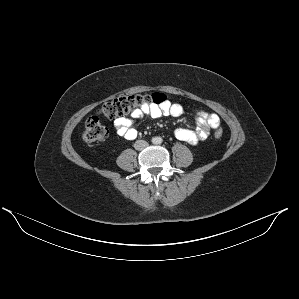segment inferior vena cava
<instances>
[{"mask_svg": "<svg viewBox=\"0 0 299 299\" xmlns=\"http://www.w3.org/2000/svg\"><path fill=\"white\" fill-rule=\"evenodd\" d=\"M148 146V142L145 140H138L134 144V148L138 151L145 149Z\"/></svg>", "mask_w": 299, "mask_h": 299, "instance_id": "602c4592", "label": "inferior vena cava"}]
</instances>
